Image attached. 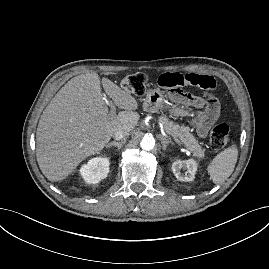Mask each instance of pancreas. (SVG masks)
<instances>
[{
  "instance_id": "cf45deb5",
  "label": "pancreas",
  "mask_w": 269,
  "mask_h": 269,
  "mask_svg": "<svg viewBox=\"0 0 269 269\" xmlns=\"http://www.w3.org/2000/svg\"><path fill=\"white\" fill-rule=\"evenodd\" d=\"M164 126L165 131L173 138H177L186 148L197 158H204V151L195 137L189 132V128L184 125L175 124L166 117L159 118Z\"/></svg>"
}]
</instances>
